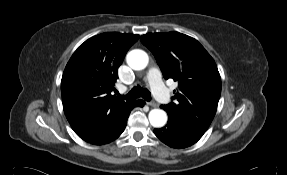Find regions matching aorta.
Returning a JSON list of instances; mask_svg holds the SVG:
<instances>
[{
	"mask_svg": "<svg viewBox=\"0 0 287 175\" xmlns=\"http://www.w3.org/2000/svg\"><path fill=\"white\" fill-rule=\"evenodd\" d=\"M148 55L145 51L134 49L126 56V62L133 70H142L148 65ZM149 122L153 127H163L167 122V114L162 109H153L149 112Z\"/></svg>",
	"mask_w": 287,
	"mask_h": 175,
	"instance_id": "762f6f07",
	"label": "aorta"
}]
</instances>
